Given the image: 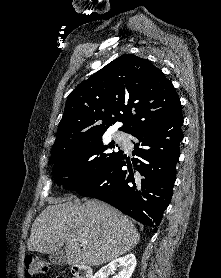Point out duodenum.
Instances as JSON below:
<instances>
[{"mask_svg": "<svg viewBox=\"0 0 221 278\" xmlns=\"http://www.w3.org/2000/svg\"><path fill=\"white\" fill-rule=\"evenodd\" d=\"M72 273L74 278H93L92 271L85 265H74Z\"/></svg>", "mask_w": 221, "mask_h": 278, "instance_id": "obj_1", "label": "duodenum"}]
</instances>
